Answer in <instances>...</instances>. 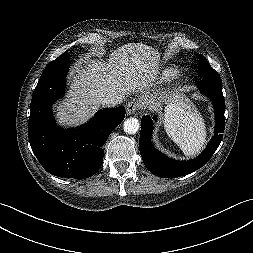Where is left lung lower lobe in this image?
Wrapping results in <instances>:
<instances>
[{"label":"left lung lower lobe","mask_w":253,"mask_h":253,"mask_svg":"<svg viewBox=\"0 0 253 253\" xmlns=\"http://www.w3.org/2000/svg\"><path fill=\"white\" fill-rule=\"evenodd\" d=\"M198 86L201 92L208 96L213 103L216 122L215 135L198 157L188 161L174 160L160 153L151 143L153 120L156 121L157 116L154 115L153 119L149 115L143 116L139 148L144 165L154 175L163 178H176L198 170L208 162L222 140V133L225 128V100L222 93V81L203 78Z\"/></svg>","instance_id":"left-lung-lower-lobe-1"}]
</instances>
